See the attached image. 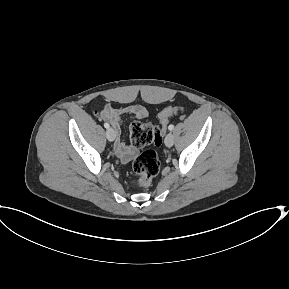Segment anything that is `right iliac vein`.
<instances>
[{"mask_svg":"<svg viewBox=\"0 0 289 289\" xmlns=\"http://www.w3.org/2000/svg\"><path fill=\"white\" fill-rule=\"evenodd\" d=\"M106 137L109 141H114L116 137V133L112 128H108L106 131Z\"/></svg>","mask_w":289,"mask_h":289,"instance_id":"obj_1","label":"right iliac vein"}]
</instances>
